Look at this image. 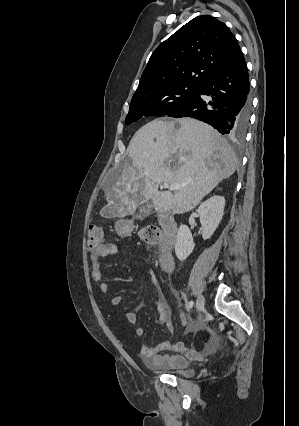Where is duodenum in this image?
<instances>
[{"label": "duodenum", "instance_id": "obj_1", "mask_svg": "<svg viewBox=\"0 0 299 426\" xmlns=\"http://www.w3.org/2000/svg\"><path fill=\"white\" fill-rule=\"evenodd\" d=\"M160 225L164 233V241L160 247V264L164 271L169 272L174 265L172 250L178 226L175 218L170 213H162L160 215Z\"/></svg>", "mask_w": 299, "mask_h": 426}]
</instances>
